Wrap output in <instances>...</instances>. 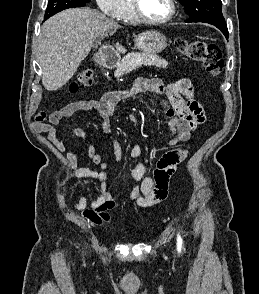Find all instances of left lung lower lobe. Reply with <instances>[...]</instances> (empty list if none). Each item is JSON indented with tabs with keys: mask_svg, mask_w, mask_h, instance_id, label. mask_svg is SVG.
I'll return each mask as SVG.
<instances>
[{
	"mask_svg": "<svg viewBox=\"0 0 259 294\" xmlns=\"http://www.w3.org/2000/svg\"><path fill=\"white\" fill-rule=\"evenodd\" d=\"M210 24V23H209ZM214 26H216L218 29L221 30V32L226 36V38L228 39V29H227V25L226 23H222V24H212Z\"/></svg>",
	"mask_w": 259,
	"mask_h": 294,
	"instance_id": "1",
	"label": "left lung lower lobe"
}]
</instances>
